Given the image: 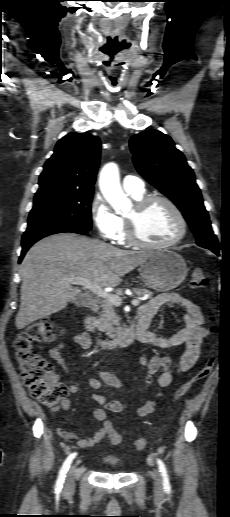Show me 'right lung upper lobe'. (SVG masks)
<instances>
[{"instance_id":"1","label":"right lung upper lobe","mask_w":230,"mask_h":517,"mask_svg":"<svg viewBox=\"0 0 230 517\" xmlns=\"http://www.w3.org/2000/svg\"><path fill=\"white\" fill-rule=\"evenodd\" d=\"M101 143L88 133H69L55 146L39 178L35 198L57 193L93 191Z\"/></svg>"}]
</instances>
